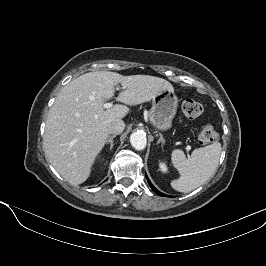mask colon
I'll use <instances>...</instances> for the list:
<instances>
[{
  "instance_id": "colon-1",
  "label": "colon",
  "mask_w": 266,
  "mask_h": 266,
  "mask_svg": "<svg viewBox=\"0 0 266 266\" xmlns=\"http://www.w3.org/2000/svg\"><path fill=\"white\" fill-rule=\"evenodd\" d=\"M182 110L186 118L194 120L202 116L204 108L200 102L187 99L182 104ZM217 138L218 133L216 129L209 124L204 125L198 134V141L202 145L213 143Z\"/></svg>"
}]
</instances>
